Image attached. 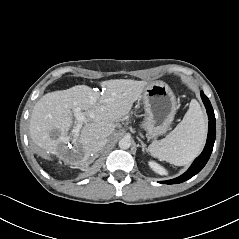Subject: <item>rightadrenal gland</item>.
<instances>
[{
  "instance_id": "obj_1",
  "label": "right adrenal gland",
  "mask_w": 239,
  "mask_h": 239,
  "mask_svg": "<svg viewBox=\"0 0 239 239\" xmlns=\"http://www.w3.org/2000/svg\"><path fill=\"white\" fill-rule=\"evenodd\" d=\"M95 158H97V156H94L93 159L91 160V162H93L95 160Z\"/></svg>"
}]
</instances>
